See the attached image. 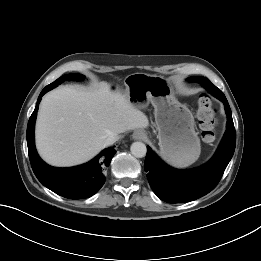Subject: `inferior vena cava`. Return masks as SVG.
Instances as JSON below:
<instances>
[{"label": "inferior vena cava", "instance_id": "inferior-vena-cava-1", "mask_svg": "<svg viewBox=\"0 0 261 261\" xmlns=\"http://www.w3.org/2000/svg\"><path fill=\"white\" fill-rule=\"evenodd\" d=\"M117 140H118L117 135H110L105 139L104 146L105 147L110 146V145L114 144Z\"/></svg>", "mask_w": 261, "mask_h": 261}]
</instances>
